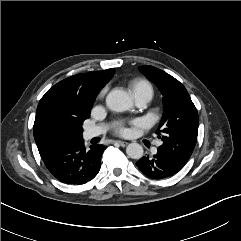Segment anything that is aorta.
I'll return each instance as SVG.
<instances>
[{
    "instance_id": "obj_1",
    "label": "aorta",
    "mask_w": 241,
    "mask_h": 241,
    "mask_svg": "<svg viewBox=\"0 0 241 241\" xmlns=\"http://www.w3.org/2000/svg\"><path fill=\"white\" fill-rule=\"evenodd\" d=\"M106 105L112 111L124 112L132 108L133 102L127 92L113 89L106 97ZM126 153L132 159H140L143 156V147L138 143H130L126 147Z\"/></svg>"
}]
</instances>
